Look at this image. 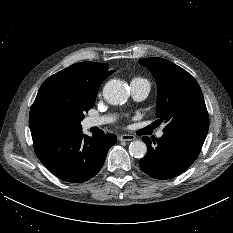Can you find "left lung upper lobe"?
<instances>
[{
  "label": "left lung upper lobe",
  "instance_id": "5c2ea615",
  "mask_svg": "<svg viewBox=\"0 0 233 233\" xmlns=\"http://www.w3.org/2000/svg\"><path fill=\"white\" fill-rule=\"evenodd\" d=\"M158 87L157 118L167 123L165 133L193 131L208 133L209 116L202 91L186 70L163 58H145Z\"/></svg>",
  "mask_w": 233,
  "mask_h": 233
}]
</instances>
